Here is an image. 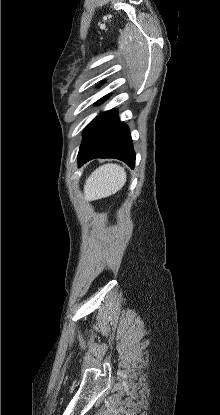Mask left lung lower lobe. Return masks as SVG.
Here are the masks:
<instances>
[{"instance_id":"0a47b994","label":"left lung lower lobe","mask_w":220,"mask_h":415,"mask_svg":"<svg viewBox=\"0 0 220 415\" xmlns=\"http://www.w3.org/2000/svg\"><path fill=\"white\" fill-rule=\"evenodd\" d=\"M106 98L107 96L100 101ZM94 158H116L134 168L135 152L131 135L128 127L120 122L116 110L96 116L84 130L78 153V167Z\"/></svg>"}]
</instances>
